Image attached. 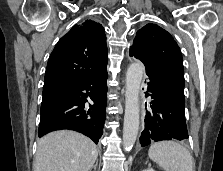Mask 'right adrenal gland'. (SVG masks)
I'll use <instances>...</instances> for the list:
<instances>
[{
	"instance_id": "2a0ac1e0",
	"label": "right adrenal gland",
	"mask_w": 223,
	"mask_h": 171,
	"mask_svg": "<svg viewBox=\"0 0 223 171\" xmlns=\"http://www.w3.org/2000/svg\"><path fill=\"white\" fill-rule=\"evenodd\" d=\"M97 165H98V160H96V163L92 166L90 171H92V169H94V171H96Z\"/></svg>"
}]
</instances>
